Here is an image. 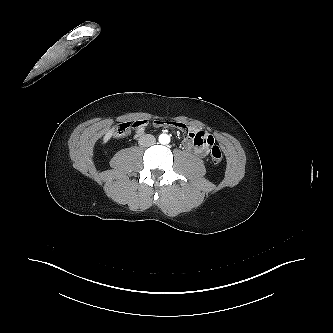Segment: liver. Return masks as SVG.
Instances as JSON below:
<instances>
[{"label":"liver","instance_id":"obj_1","mask_svg":"<svg viewBox=\"0 0 333 333\" xmlns=\"http://www.w3.org/2000/svg\"><path fill=\"white\" fill-rule=\"evenodd\" d=\"M113 131H114L113 129H110V130L106 133L105 138H104L105 141L108 140V139L112 136Z\"/></svg>","mask_w":333,"mask_h":333}]
</instances>
